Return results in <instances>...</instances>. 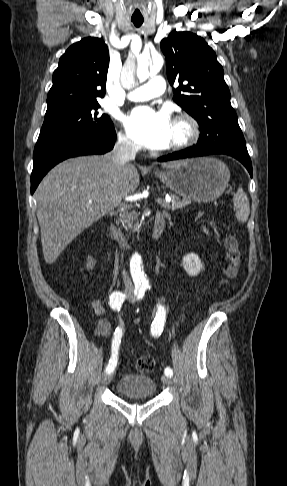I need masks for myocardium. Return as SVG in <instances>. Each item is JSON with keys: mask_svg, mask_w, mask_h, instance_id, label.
Instances as JSON below:
<instances>
[{"mask_svg": "<svg viewBox=\"0 0 287 486\" xmlns=\"http://www.w3.org/2000/svg\"><path fill=\"white\" fill-rule=\"evenodd\" d=\"M174 123L182 125L185 134L181 139L170 143V150H183L197 142L200 136V128L194 117L187 113H180L175 117Z\"/></svg>", "mask_w": 287, "mask_h": 486, "instance_id": "obj_1", "label": "myocardium"}]
</instances>
